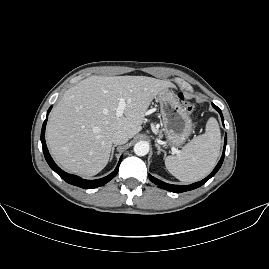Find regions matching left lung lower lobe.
Listing matches in <instances>:
<instances>
[{
    "instance_id": "0a47b994",
    "label": "left lung lower lobe",
    "mask_w": 269,
    "mask_h": 269,
    "mask_svg": "<svg viewBox=\"0 0 269 269\" xmlns=\"http://www.w3.org/2000/svg\"><path fill=\"white\" fill-rule=\"evenodd\" d=\"M212 106L219 112V114L221 116V119H222L223 126H224V119H223V115H222L221 110L216 105H214L213 103H212ZM226 144H227V135H225L224 150H223L222 157H221L220 161L218 162V164L216 165V167L214 168V170L211 172V174L208 175L202 181L193 183L191 185H172V184H167V183H165L163 181H160L159 179L151 176L150 174L148 176H149L150 180L153 183H155L156 185H158L160 188L165 189V190L170 191V192L181 193V192H185V191H190V190L196 189V188L202 186L211 177H213L216 174V172L220 169V167H221V165L223 163V160H224V156H225Z\"/></svg>"
}]
</instances>
